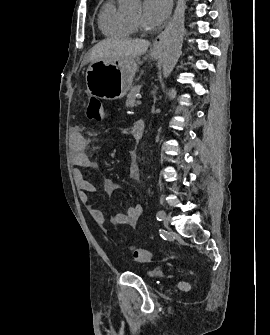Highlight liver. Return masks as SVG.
<instances>
[{
	"label": "liver",
	"mask_w": 270,
	"mask_h": 335,
	"mask_svg": "<svg viewBox=\"0 0 270 335\" xmlns=\"http://www.w3.org/2000/svg\"><path fill=\"white\" fill-rule=\"evenodd\" d=\"M150 42L148 40H102L92 48L88 62L115 60V58H137L145 54Z\"/></svg>",
	"instance_id": "obj_1"
}]
</instances>
